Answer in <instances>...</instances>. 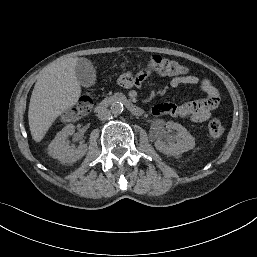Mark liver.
Returning <instances> with one entry per match:
<instances>
[{
    "mask_svg": "<svg viewBox=\"0 0 257 257\" xmlns=\"http://www.w3.org/2000/svg\"><path fill=\"white\" fill-rule=\"evenodd\" d=\"M78 60L77 57L56 60L38 75L28 111L30 132L35 142L44 138L58 116L77 103L81 95L75 73Z\"/></svg>",
    "mask_w": 257,
    "mask_h": 257,
    "instance_id": "liver-1",
    "label": "liver"
}]
</instances>
